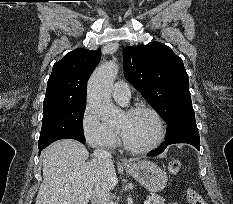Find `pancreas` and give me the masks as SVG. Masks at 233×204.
I'll return each mask as SVG.
<instances>
[{"label": "pancreas", "instance_id": "pancreas-1", "mask_svg": "<svg viewBox=\"0 0 233 204\" xmlns=\"http://www.w3.org/2000/svg\"><path fill=\"white\" fill-rule=\"evenodd\" d=\"M150 204H164V199L157 194H152L150 197Z\"/></svg>", "mask_w": 233, "mask_h": 204}]
</instances>
